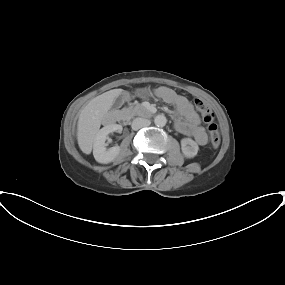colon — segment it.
<instances>
[{
  "label": "colon",
  "instance_id": "colon-1",
  "mask_svg": "<svg viewBox=\"0 0 285 285\" xmlns=\"http://www.w3.org/2000/svg\"><path fill=\"white\" fill-rule=\"evenodd\" d=\"M193 103L197 110L201 113L204 123L207 125L211 143L214 147L220 144V132L215 116L211 108L200 98H194Z\"/></svg>",
  "mask_w": 285,
  "mask_h": 285
}]
</instances>
